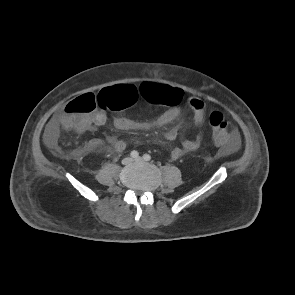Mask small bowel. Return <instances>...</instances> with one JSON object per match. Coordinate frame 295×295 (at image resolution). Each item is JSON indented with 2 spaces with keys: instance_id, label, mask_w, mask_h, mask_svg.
I'll return each mask as SVG.
<instances>
[{
  "instance_id": "obj_1",
  "label": "small bowel",
  "mask_w": 295,
  "mask_h": 295,
  "mask_svg": "<svg viewBox=\"0 0 295 295\" xmlns=\"http://www.w3.org/2000/svg\"><path fill=\"white\" fill-rule=\"evenodd\" d=\"M180 92L183 97V92L179 89H176ZM189 107L193 112V123L194 126L198 129H201L205 123L206 119V106L205 103L199 98H191L188 101ZM181 115V108L177 105L171 107L162 113L159 117L151 121L139 122L128 119L122 116H116L113 118V126L117 130L121 131H156L162 129L169 124L176 121ZM107 122V116L102 111H95L90 114L87 118L83 120L81 125L76 129L78 132L83 133L89 130L92 127H101ZM59 127H60V117H54L47 125L44 133V142L50 149H55L57 146L58 136H59ZM178 132L177 129L171 128L164 133V137L167 140H174L177 138ZM202 133L199 132L194 139H186L182 142L181 147H175L170 152V158L172 160H178L181 157L198 150L202 144ZM111 148L116 152H122L126 148V143L117 138L110 139ZM239 139L238 135L235 142L232 145H229V150H235L238 147ZM107 146L104 142L100 140H91L86 145V151H95L106 149Z\"/></svg>"
}]
</instances>
